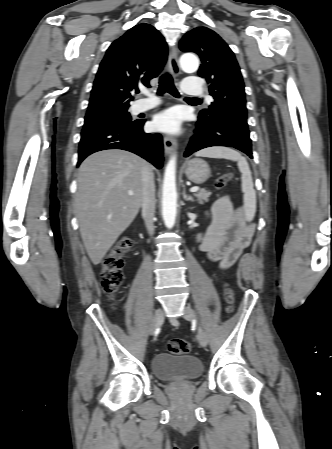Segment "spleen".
I'll return each mask as SVG.
<instances>
[{
  "mask_svg": "<svg viewBox=\"0 0 332 449\" xmlns=\"http://www.w3.org/2000/svg\"><path fill=\"white\" fill-rule=\"evenodd\" d=\"M196 156L209 158H223L236 161L241 172V188L243 192V203L245 218L252 221L256 213V192L254 190L253 180L249 165L241 154L233 149L225 147H212L201 150Z\"/></svg>",
  "mask_w": 332,
  "mask_h": 449,
  "instance_id": "1",
  "label": "spleen"
}]
</instances>
